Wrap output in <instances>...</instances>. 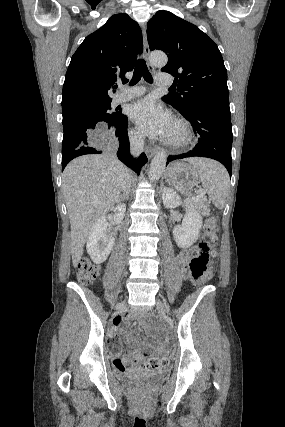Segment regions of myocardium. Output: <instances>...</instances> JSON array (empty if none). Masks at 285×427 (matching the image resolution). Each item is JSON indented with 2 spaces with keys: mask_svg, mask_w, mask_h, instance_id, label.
<instances>
[{
  "mask_svg": "<svg viewBox=\"0 0 285 427\" xmlns=\"http://www.w3.org/2000/svg\"><path fill=\"white\" fill-rule=\"evenodd\" d=\"M174 123L179 126L181 135L178 138H168L165 143L173 148H181L188 145L193 137L190 124L183 118H176Z\"/></svg>",
  "mask_w": 285,
  "mask_h": 427,
  "instance_id": "1",
  "label": "myocardium"
}]
</instances>
